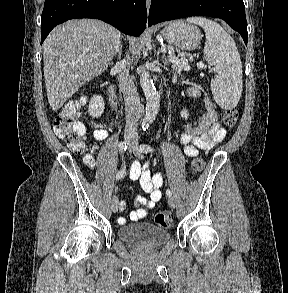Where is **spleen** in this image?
<instances>
[{
  "mask_svg": "<svg viewBox=\"0 0 288 293\" xmlns=\"http://www.w3.org/2000/svg\"><path fill=\"white\" fill-rule=\"evenodd\" d=\"M206 34L204 55L217 75L211 79L216 103L224 109L235 108L242 93V63L236 44L221 25L205 17H190Z\"/></svg>",
  "mask_w": 288,
  "mask_h": 293,
  "instance_id": "spleen-1",
  "label": "spleen"
}]
</instances>
